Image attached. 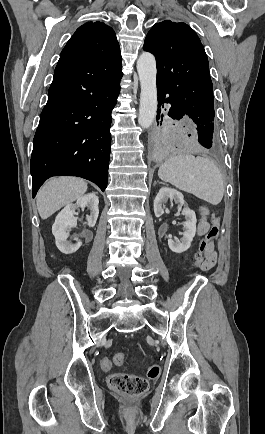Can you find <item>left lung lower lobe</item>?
I'll use <instances>...</instances> for the list:
<instances>
[{"label":"left lung lower lobe","mask_w":265,"mask_h":434,"mask_svg":"<svg viewBox=\"0 0 265 434\" xmlns=\"http://www.w3.org/2000/svg\"><path fill=\"white\" fill-rule=\"evenodd\" d=\"M157 91L159 106H161L164 102H168L172 105L168 112V115L171 118L177 120H180L181 118H189L183 106L178 101L171 96L165 100V95L168 93L166 89L157 84ZM159 118L160 113H158L157 121ZM196 130L198 135L197 148L199 151L205 154L220 152L221 143L215 125H197ZM155 149L162 154H171L179 152L181 148L178 144L169 139L160 138L155 141Z\"/></svg>","instance_id":"left-lung-lower-lobe-1"}]
</instances>
